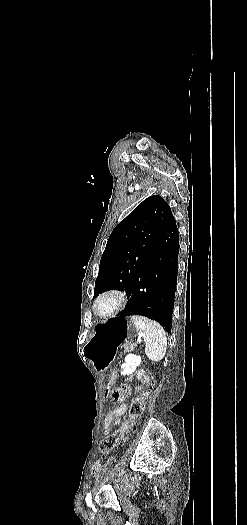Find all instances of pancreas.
<instances>
[{
    "instance_id": "obj_1",
    "label": "pancreas",
    "mask_w": 247,
    "mask_h": 525,
    "mask_svg": "<svg viewBox=\"0 0 247 525\" xmlns=\"http://www.w3.org/2000/svg\"><path fill=\"white\" fill-rule=\"evenodd\" d=\"M136 345H132V343H124V345H122L121 347V352H126L128 353V351H133V349H135Z\"/></svg>"
}]
</instances>
